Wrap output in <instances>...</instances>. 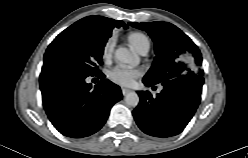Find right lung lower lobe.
Instances as JSON below:
<instances>
[{"label": "right lung lower lobe", "mask_w": 248, "mask_h": 158, "mask_svg": "<svg viewBox=\"0 0 248 158\" xmlns=\"http://www.w3.org/2000/svg\"><path fill=\"white\" fill-rule=\"evenodd\" d=\"M94 76L103 79L104 74ZM86 77L58 71L40 74L44 109L54 127L68 137L82 138L97 132L111 107L122 99L120 87L108 79L92 88Z\"/></svg>", "instance_id": "right-lung-lower-lobe-1"}]
</instances>
